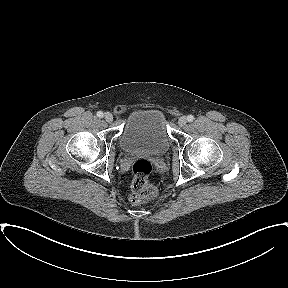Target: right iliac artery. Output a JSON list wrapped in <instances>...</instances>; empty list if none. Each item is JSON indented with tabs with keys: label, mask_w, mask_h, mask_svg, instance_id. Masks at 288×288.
<instances>
[{
	"label": "right iliac artery",
	"mask_w": 288,
	"mask_h": 288,
	"mask_svg": "<svg viewBox=\"0 0 288 288\" xmlns=\"http://www.w3.org/2000/svg\"><path fill=\"white\" fill-rule=\"evenodd\" d=\"M97 116H98L99 118H102V117H103V112H101V111L97 112Z\"/></svg>",
	"instance_id": "obj_1"
}]
</instances>
